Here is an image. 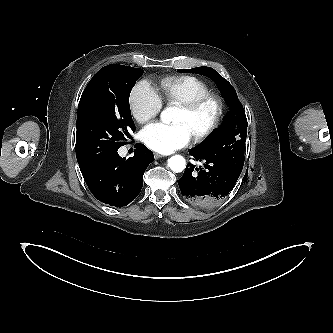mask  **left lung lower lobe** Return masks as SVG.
Segmentation results:
<instances>
[{"mask_svg":"<svg viewBox=\"0 0 333 333\" xmlns=\"http://www.w3.org/2000/svg\"><path fill=\"white\" fill-rule=\"evenodd\" d=\"M189 153L203 166L188 164L178 180L181 193L189 203L210 208L220 203L233 189L240 174L227 165L192 149Z\"/></svg>","mask_w":333,"mask_h":333,"instance_id":"left-lung-lower-lobe-1","label":"left lung lower lobe"}]
</instances>
